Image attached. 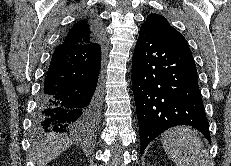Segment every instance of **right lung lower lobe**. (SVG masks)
<instances>
[{
	"instance_id": "98d812e1",
	"label": "right lung lower lobe",
	"mask_w": 231,
	"mask_h": 166,
	"mask_svg": "<svg viewBox=\"0 0 231 166\" xmlns=\"http://www.w3.org/2000/svg\"><path fill=\"white\" fill-rule=\"evenodd\" d=\"M97 29H102L96 20ZM99 36L91 44H59L53 53L37 102L36 128L44 132L87 134L97 125L102 105Z\"/></svg>"
}]
</instances>
